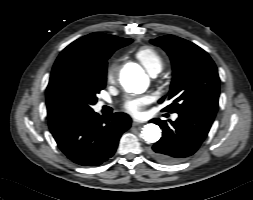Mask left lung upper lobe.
<instances>
[{
  "label": "left lung upper lobe",
  "mask_w": 253,
  "mask_h": 200,
  "mask_svg": "<svg viewBox=\"0 0 253 200\" xmlns=\"http://www.w3.org/2000/svg\"><path fill=\"white\" fill-rule=\"evenodd\" d=\"M151 43L168 53L173 66L170 91L159 100L170 103L164 111L215 116L220 79L210 56L194 43L173 35L152 39Z\"/></svg>",
  "instance_id": "left-lung-upper-lobe-1"
}]
</instances>
